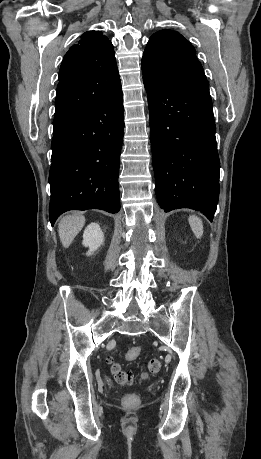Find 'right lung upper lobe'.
<instances>
[{
	"instance_id": "right-lung-upper-lobe-1",
	"label": "right lung upper lobe",
	"mask_w": 261,
	"mask_h": 459,
	"mask_svg": "<svg viewBox=\"0 0 261 459\" xmlns=\"http://www.w3.org/2000/svg\"><path fill=\"white\" fill-rule=\"evenodd\" d=\"M119 87L114 49L99 31H88L63 58L55 101L57 125L98 105Z\"/></svg>"
}]
</instances>
